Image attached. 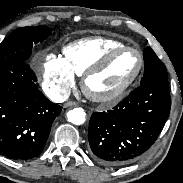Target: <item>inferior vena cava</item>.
<instances>
[{
  "mask_svg": "<svg viewBox=\"0 0 183 183\" xmlns=\"http://www.w3.org/2000/svg\"><path fill=\"white\" fill-rule=\"evenodd\" d=\"M48 97L55 103H62L64 102L65 100H67V98L69 97L70 95V91L67 90L65 92H60V91H57V92H48Z\"/></svg>",
  "mask_w": 183,
  "mask_h": 183,
  "instance_id": "inferior-vena-cava-1",
  "label": "inferior vena cava"
}]
</instances>
